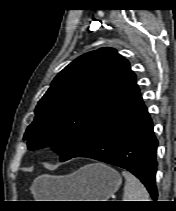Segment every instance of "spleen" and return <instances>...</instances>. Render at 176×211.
<instances>
[{
  "label": "spleen",
  "mask_w": 176,
  "mask_h": 211,
  "mask_svg": "<svg viewBox=\"0 0 176 211\" xmlns=\"http://www.w3.org/2000/svg\"><path fill=\"white\" fill-rule=\"evenodd\" d=\"M126 179L123 201H150L145 186L130 172L123 170Z\"/></svg>",
  "instance_id": "3e777b00"
}]
</instances>
